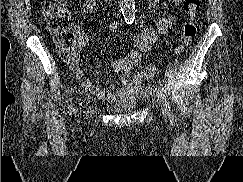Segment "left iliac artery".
<instances>
[{
  "label": "left iliac artery",
  "instance_id": "left-iliac-artery-1",
  "mask_svg": "<svg viewBox=\"0 0 243 182\" xmlns=\"http://www.w3.org/2000/svg\"><path fill=\"white\" fill-rule=\"evenodd\" d=\"M161 94L163 95V97L166 100L167 99V90H166L165 87H162L161 88ZM166 108H167V112H168L169 119L172 122L174 120V115H173V111L171 109V106H170L169 101H166Z\"/></svg>",
  "mask_w": 243,
  "mask_h": 182
}]
</instances>
